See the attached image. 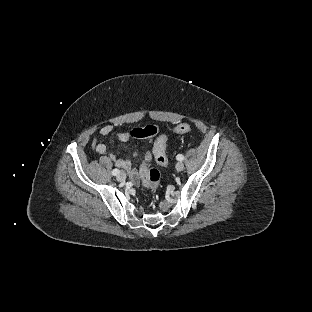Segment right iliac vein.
I'll list each match as a JSON object with an SVG mask.
<instances>
[{
  "label": "right iliac vein",
  "mask_w": 312,
  "mask_h": 312,
  "mask_svg": "<svg viewBox=\"0 0 312 312\" xmlns=\"http://www.w3.org/2000/svg\"><path fill=\"white\" fill-rule=\"evenodd\" d=\"M117 180L119 182H124L126 180V174L123 173V172L119 173L118 176H117Z\"/></svg>",
  "instance_id": "right-iliac-vein-1"
}]
</instances>
